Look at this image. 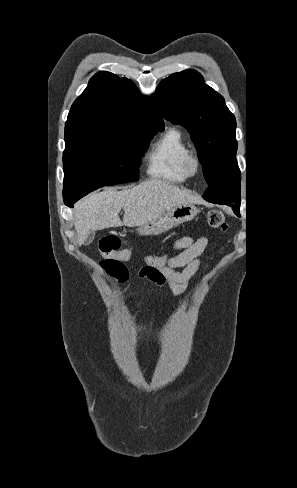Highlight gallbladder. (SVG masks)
<instances>
[{"label":"gallbladder","instance_id":"bac80fb5","mask_svg":"<svg viewBox=\"0 0 297 488\" xmlns=\"http://www.w3.org/2000/svg\"><path fill=\"white\" fill-rule=\"evenodd\" d=\"M94 235H95V232H93V231H91L89 233V235H88V237H87V239L85 241V244L86 245H89L92 242V240L94 239Z\"/></svg>","mask_w":297,"mask_h":488}]
</instances>
